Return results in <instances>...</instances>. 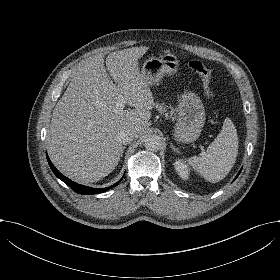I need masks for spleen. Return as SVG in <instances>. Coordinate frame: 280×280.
<instances>
[{
	"label": "spleen",
	"mask_w": 280,
	"mask_h": 280,
	"mask_svg": "<svg viewBox=\"0 0 280 280\" xmlns=\"http://www.w3.org/2000/svg\"><path fill=\"white\" fill-rule=\"evenodd\" d=\"M239 149L237 130L231 119L226 118L221 132L210 144L207 151L193 157L189 164L210 182L223 180L236 162Z\"/></svg>",
	"instance_id": "obj_1"
}]
</instances>
